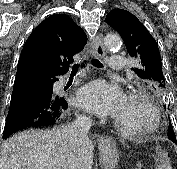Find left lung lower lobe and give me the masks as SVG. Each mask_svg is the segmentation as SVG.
<instances>
[{
    "mask_svg": "<svg viewBox=\"0 0 177 169\" xmlns=\"http://www.w3.org/2000/svg\"><path fill=\"white\" fill-rule=\"evenodd\" d=\"M168 138H169L172 142H174L175 144H177V142H176V137H175V136L171 135V136H168Z\"/></svg>",
    "mask_w": 177,
    "mask_h": 169,
    "instance_id": "1",
    "label": "left lung lower lobe"
}]
</instances>
